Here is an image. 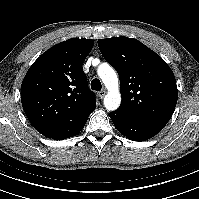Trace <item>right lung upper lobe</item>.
I'll use <instances>...</instances> for the list:
<instances>
[{
	"label": "right lung upper lobe",
	"instance_id": "right-lung-upper-lobe-1",
	"mask_svg": "<svg viewBox=\"0 0 199 199\" xmlns=\"http://www.w3.org/2000/svg\"><path fill=\"white\" fill-rule=\"evenodd\" d=\"M93 40L72 38L44 52L21 85V102L33 127L42 135L66 139L77 135L96 108L82 65Z\"/></svg>",
	"mask_w": 199,
	"mask_h": 199
}]
</instances>
